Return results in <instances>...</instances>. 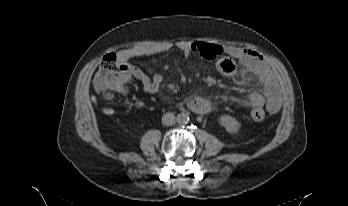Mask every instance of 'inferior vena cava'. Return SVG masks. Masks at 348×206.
Instances as JSON below:
<instances>
[{
    "label": "inferior vena cava",
    "instance_id": "obj_1",
    "mask_svg": "<svg viewBox=\"0 0 348 206\" xmlns=\"http://www.w3.org/2000/svg\"><path fill=\"white\" fill-rule=\"evenodd\" d=\"M175 123V115L171 112H167L162 116V124L171 126Z\"/></svg>",
    "mask_w": 348,
    "mask_h": 206
}]
</instances>
